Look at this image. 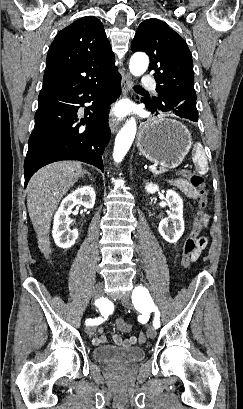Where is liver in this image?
Here are the masks:
<instances>
[{"label": "liver", "instance_id": "6515ba94", "mask_svg": "<svg viewBox=\"0 0 243 409\" xmlns=\"http://www.w3.org/2000/svg\"><path fill=\"white\" fill-rule=\"evenodd\" d=\"M79 162L60 161L38 170L27 186V208L37 234L38 247L46 258L51 254L49 229L62 197L82 177Z\"/></svg>", "mask_w": 243, "mask_h": 409}]
</instances>
